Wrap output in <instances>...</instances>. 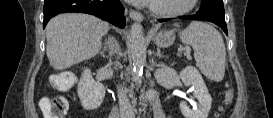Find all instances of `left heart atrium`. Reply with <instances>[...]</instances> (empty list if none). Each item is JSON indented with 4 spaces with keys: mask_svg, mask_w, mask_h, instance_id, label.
I'll return each mask as SVG.
<instances>
[{
    "mask_svg": "<svg viewBox=\"0 0 273 118\" xmlns=\"http://www.w3.org/2000/svg\"><path fill=\"white\" fill-rule=\"evenodd\" d=\"M141 5H153L157 0H132Z\"/></svg>",
    "mask_w": 273,
    "mask_h": 118,
    "instance_id": "left-heart-atrium-1",
    "label": "left heart atrium"
}]
</instances>
